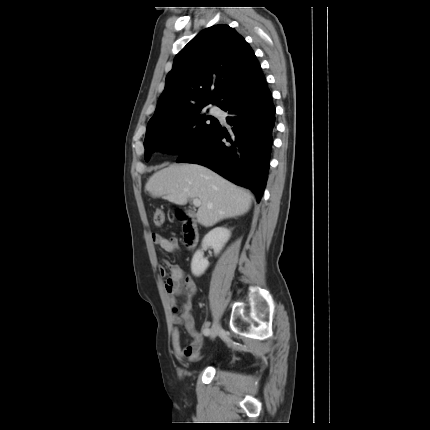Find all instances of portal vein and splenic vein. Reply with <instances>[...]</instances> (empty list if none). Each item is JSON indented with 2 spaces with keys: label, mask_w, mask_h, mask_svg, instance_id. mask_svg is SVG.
Wrapping results in <instances>:
<instances>
[{
  "label": "portal vein and splenic vein",
  "mask_w": 430,
  "mask_h": 430,
  "mask_svg": "<svg viewBox=\"0 0 430 430\" xmlns=\"http://www.w3.org/2000/svg\"><path fill=\"white\" fill-rule=\"evenodd\" d=\"M193 204L195 207H199L201 205V201L198 198L193 199Z\"/></svg>",
  "instance_id": "portal-vein-and-splenic-vein-1"
}]
</instances>
